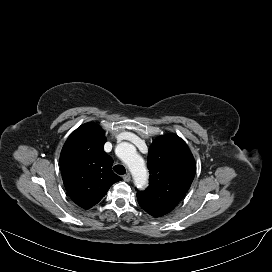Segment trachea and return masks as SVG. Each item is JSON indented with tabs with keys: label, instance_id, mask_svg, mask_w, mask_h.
I'll use <instances>...</instances> for the list:
<instances>
[{
	"label": "trachea",
	"instance_id": "3493384b",
	"mask_svg": "<svg viewBox=\"0 0 272 272\" xmlns=\"http://www.w3.org/2000/svg\"><path fill=\"white\" fill-rule=\"evenodd\" d=\"M113 170H114L117 174H119V175H123V174L126 173L125 167H124L123 165H120V164L115 165V166L113 167Z\"/></svg>",
	"mask_w": 272,
	"mask_h": 272
}]
</instances>
